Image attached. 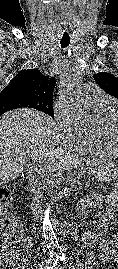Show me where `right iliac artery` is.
Wrapping results in <instances>:
<instances>
[{
  "instance_id": "right-iliac-artery-1",
  "label": "right iliac artery",
  "mask_w": 118,
  "mask_h": 269,
  "mask_svg": "<svg viewBox=\"0 0 118 269\" xmlns=\"http://www.w3.org/2000/svg\"><path fill=\"white\" fill-rule=\"evenodd\" d=\"M58 259H59L58 255H54V256L49 257L47 260H45V267L44 268L52 269L56 265Z\"/></svg>"
}]
</instances>
